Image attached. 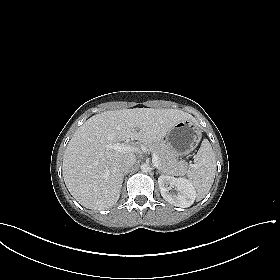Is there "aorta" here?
<instances>
[{"instance_id":"762f6f07","label":"aorta","mask_w":280,"mask_h":280,"mask_svg":"<svg viewBox=\"0 0 280 280\" xmlns=\"http://www.w3.org/2000/svg\"><path fill=\"white\" fill-rule=\"evenodd\" d=\"M142 172L146 173L150 171V166L148 164L141 165Z\"/></svg>"}]
</instances>
